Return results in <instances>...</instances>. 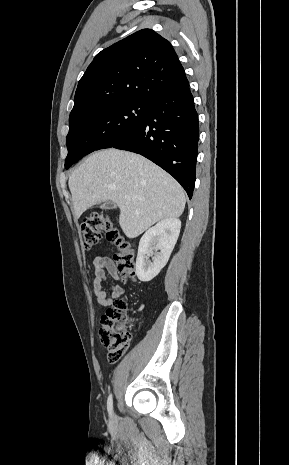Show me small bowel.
I'll list each match as a JSON object with an SVG mask.
<instances>
[{
    "label": "small bowel",
    "mask_w": 289,
    "mask_h": 465,
    "mask_svg": "<svg viewBox=\"0 0 289 465\" xmlns=\"http://www.w3.org/2000/svg\"><path fill=\"white\" fill-rule=\"evenodd\" d=\"M95 278L93 281V292L97 304L100 307H107L113 304L114 299L121 297L124 294L123 287L114 285L111 288V294L108 295L103 283L107 281L108 276L119 280L117 266L115 262L106 255L97 256L94 259Z\"/></svg>",
    "instance_id": "small-bowel-1"
}]
</instances>
